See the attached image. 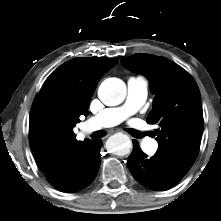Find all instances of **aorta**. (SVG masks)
I'll return each instance as SVG.
<instances>
[{
  "label": "aorta",
  "instance_id": "762f6f07",
  "mask_svg": "<svg viewBox=\"0 0 221 221\" xmlns=\"http://www.w3.org/2000/svg\"><path fill=\"white\" fill-rule=\"evenodd\" d=\"M98 97L107 106L119 105L126 97V85L119 78L105 79L99 86ZM107 148L116 155L124 156L130 152L131 140L127 135L117 133L108 139Z\"/></svg>",
  "mask_w": 221,
  "mask_h": 221
}]
</instances>
